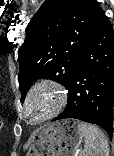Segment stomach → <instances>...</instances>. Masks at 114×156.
<instances>
[{"label": "stomach", "mask_w": 114, "mask_h": 156, "mask_svg": "<svg viewBox=\"0 0 114 156\" xmlns=\"http://www.w3.org/2000/svg\"><path fill=\"white\" fill-rule=\"evenodd\" d=\"M80 121L65 119L38 129L26 156H77L83 140Z\"/></svg>", "instance_id": "0dacf381"}]
</instances>
